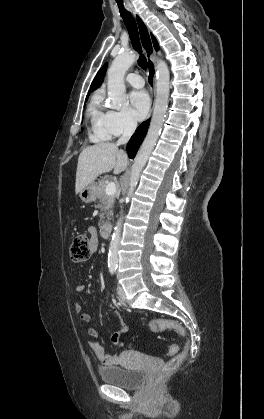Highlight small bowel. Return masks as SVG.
Wrapping results in <instances>:
<instances>
[{
    "label": "small bowel",
    "instance_id": "small-bowel-1",
    "mask_svg": "<svg viewBox=\"0 0 264 419\" xmlns=\"http://www.w3.org/2000/svg\"><path fill=\"white\" fill-rule=\"evenodd\" d=\"M88 231L90 234V243H91L92 248L94 249L97 246V242H98L97 232L94 227H89ZM85 290H86V285L82 283L77 284L75 287V291L78 293H82ZM75 309H76V312L79 314L80 319L83 322L85 323L91 322V315L83 311V307L80 304L77 303L75 305ZM120 325H121V329L112 335V342L119 347H123L124 343L122 341V336L128 331V327L123 321H120ZM88 334L92 337V340L89 342V345L103 366L108 367V366L118 365L121 363V355L105 354L102 345L97 341L99 333L95 328L89 327Z\"/></svg>",
    "mask_w": 264,
    "mask_h": 419
}]
</instances>
